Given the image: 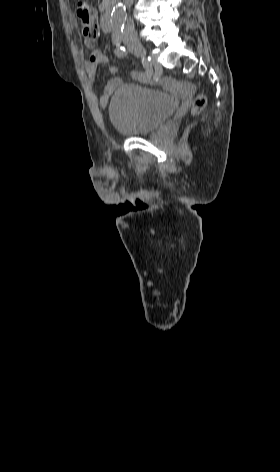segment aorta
<instances>
[{
	"label": "aorta",
	"mask_w": 280,
	"mask_h": 472,
	"mask_svg": "<svg viewBox=\"0 0 280 472\" xmlns=\"http://www.w3.org/2000/svg\"><path fill=\"white\" fill-rule=\"evenodd\" d=\"M111 25L114 29H120L126 20V10L123 4H117L111 14Z\"/></svg>",
	"instance_id": "762f6f07"
}]
</instances>
